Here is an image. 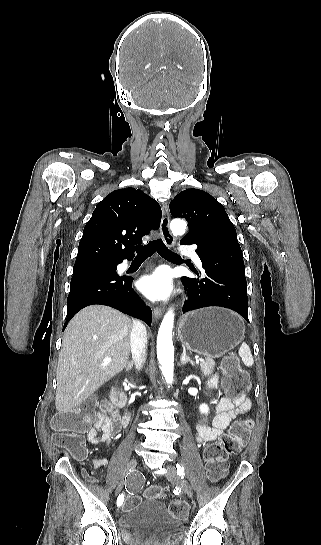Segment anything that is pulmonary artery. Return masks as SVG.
Returning a JSON list of instances; mask_svg holds the SVG:
<instances>
[{"instance_id": "obj_1", "label": "pulmonary artery", "mask_w": 321, "mask_h": 545, "mask_svg": "<svg viewBox=\"0 0 321 545\" xmlns=\"http://www.w3.org/2000/svg\"><path fill=\"white\" fill-rule=\"evenodd\" d=\"M180 248H183V245H180ZM182 252H183L184 255H186V256L188 255V256H189V255L192 254L193 251H192L191 248H189V247L187 248V247H186V248L183 249ZM192 258H193V260H194V262H195V264H196L197 266H201V260H200V258H199V256H198L197 254H193V255H192ZM120 266H121V267H126L127 265H126V264H121Z\"/></svg>"}]
</instances>
